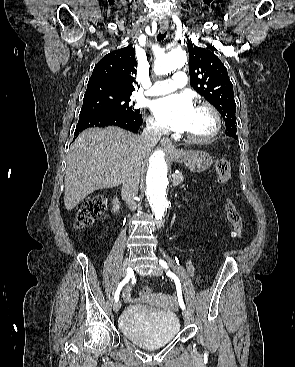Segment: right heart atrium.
I'll use <instances>...</instances> for the list:
<instances>
[{"label":"right heart atrium","instance_id":"d8ad5b80","mask_svg":"<svg viewBox=\"0 0 295 367\" xmlns=\"http://www.w3.org/2000/svg\"><path fill=\"white\" fill-rule=\"evenodd\" d=\"M147 128L150 132L156 135H160L164 132V127L154 118H147Z\"/></svg>","mask_w":295,"mask_h":367}]
</instances>
